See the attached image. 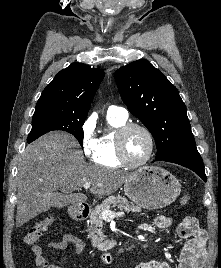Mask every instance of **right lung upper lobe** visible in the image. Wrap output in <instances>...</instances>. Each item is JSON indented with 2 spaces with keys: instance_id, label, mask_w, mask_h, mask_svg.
<instances>
[{
  "instance_id": "1",
  "label": "right lung upper lobe",
  "mask_w": 221,
  "mask_h": 268,
  "mask_svg": "<svg viewBox=\"0 0 221 268\" xmlns=\"http://www.w3.org/2000/svg\"><path fill=\"white\" fill-rule=\"evenodd\" d=\"M104 71L82 63L61 70L43 90L35 111L60 110L86 115Z\"/></svg>"
}]
</instances>
